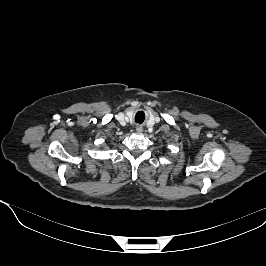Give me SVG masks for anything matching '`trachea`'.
<instances>
[{
	"label": "trachea",
	"instance_id": "obj_1",
	"mask_svg": "<svg viewBox=\"0 0 266 266\" xmlns=\"http://www.w3.org/2000/svg\"><path fill=\"white\" fill-rule=\"evenodd\" d=\"M135 122H137V123H142L143 122V118L139 116V113H137L136 116H135Z\"/></svg>",
	"mask_w": 266,
	"mask_h": 266
}]
</instances>
